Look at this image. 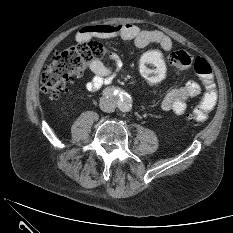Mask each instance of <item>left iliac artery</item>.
<instances>
[{
	"label": "left iliac artery",
	"instance_id": "left-iliac-artery-1",
	"mask_svg": "<svg viewBox=\"0 0 233 233\" xmlns=\"http://www.w3.org/2000/svg\"><path fill=\"white\" fill-rule=\"evenodd\" d=\"M129 108V104L124 105V109L127 110Z\"/></svg>",
	"mask_w": 233,
	"mask_h": 233
}]
</instances>
